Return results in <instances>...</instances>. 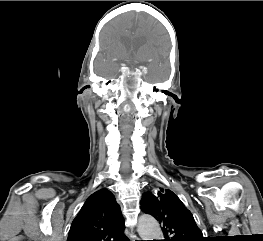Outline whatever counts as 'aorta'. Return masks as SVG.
Wrapping results in <instances>:
<instances>
[{"instance_id":"aorta-1","label":"aorta","mask_w":263,"mask_h":241,"mask_svg":"<svg viewBox=\"0 0 263 241\" xmlns=\"http://www.w3.org/2000/svg\"><path fill=\"white\" fill-rule=\"evenodd\" d=\"M138 233L142 240H157L161 237L159 224L150 215H142L139 218Z\"/></svg>"}]
</instances>
